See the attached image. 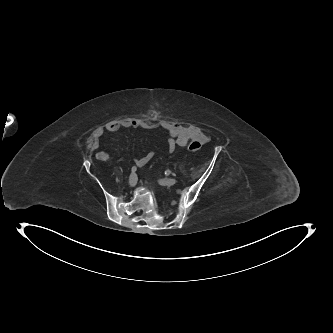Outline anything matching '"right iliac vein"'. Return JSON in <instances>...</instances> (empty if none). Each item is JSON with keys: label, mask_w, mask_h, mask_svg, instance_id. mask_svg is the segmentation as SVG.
<instances>
[{"label": "right iliac vein", "mask_w": 333, "mask_h": 333, "mask_svg": "<svg viewBox=\"0 0 333 333\" xmlns=\"http://www.w3.org/2000/svg\"><path fill=\"white\" fill-rule=\"evenodd\" d=\"M137 184V175L135 173H131L129 177V185L131 187H135Z\"/></svg>", "instance_id": "63e3f726"}]
</instances>
